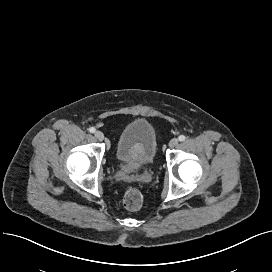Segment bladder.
Listing matches in <instances>:
<instances>
[{
  "label": "bladder",
  "instance_id": "1",
  "mask_svg": "<svg viewBox=\"0 0 272 272\" xmlns=\"http://www.w3.org/2000/svg\"><path fill=\"white\" fill-rule=\"evenodd\" d=\"M157 145V134L152 124L147 119L138 118L121 131L115 155L123 164L145 167L154 160Z\"/></svg>",
  "mask_w": 272,
  "mask_h": 272
}]
</instances>
